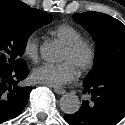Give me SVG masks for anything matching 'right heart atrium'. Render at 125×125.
I'll return each mask as SVG.
<instances>
[{"mask_svg":"<svg viewBox=\"0 0 125 125\" xmlns=\"http://www.w3.org/2000/svg\"><path fill=\"white\" fill-rule=\"evenodd\" d=\"M40 38L37 34H30L24 41L23 44V54L26 58L31 61H36L38 59Z\"/></svg>","mask_w":125,"mask_h":125,"instance_id":"obj_1","label":"right heart atrium"}]
</instances>
